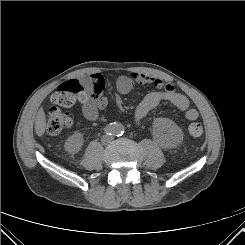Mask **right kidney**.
Wrapping results in <instances>:
<instances>
[{
    "mask_svg": "<svg viewBox=\"0 0 245 245\" xmlns=\"http://www.w3.org/2000/svg\"><path fill=\"white\" fill-rule=\"evenodd\" d=\"M83 141V134L76 131L67 139L65 149L70 153H77L81 149Z\"/></svg>",
    "mask_w": 245,
    "mask_h": 245,
    "instance_id": "ca27d5eb",
    "label": "right kidney"
}]
</instances>
